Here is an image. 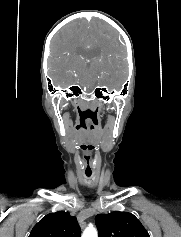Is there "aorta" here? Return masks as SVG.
Returning <instances> with one entry per match:
<instances>
[{"instance_id": "obj_1", "label": "aorta", "mask_w": 181, "mask_h": 237, "mask_svg": "<svg viewBox=\"0 0 181 237\" xmlns=\"http://www.w3.org/2000/svg\"><path fill=\"white\" fill-rule=\"evenodd\" d=\"M82 237H98L97 230L90 225L84 230Z\"/></svg>"}]
</instances>
